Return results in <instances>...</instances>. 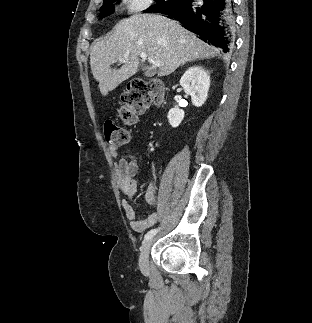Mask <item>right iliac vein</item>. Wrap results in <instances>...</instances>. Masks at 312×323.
<instances>
[{
	"instance_id": "obj_1",
	"label": "right iliac vein",
	"mask_w": 312,
	"mask_h": 323,
	"mask_svg": "<svg viewBox=\"0 0 312 323\" xmlns=\"http://www.w3.org/2000/svg\"><path fill=\"white\" fill-rule=\"evenodd\" d=\"M151 245H152V239L150 238L144 242L141 248L139 266L142 273H146L149 270L148 257H149V251H150Z\"/></svg>"
}]
</instances>
